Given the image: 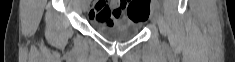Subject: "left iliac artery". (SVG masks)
<instances>
[{"instance_id": "44dca946", "label": "left iliac artery", "mask_w": 235, "mask_h": 62, "mask_svg": "<svg viewBox=\"0 0 235 62\" xmlns=\"http://www.w3.org/2000/svg\"><path fill=\"white\" fill-rule=\"evenodd\" d=\"M153 6H155L156 8L159 7L158 3L157 2H153Z\"/></svg>"}]
</instances>
